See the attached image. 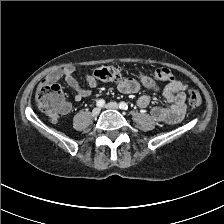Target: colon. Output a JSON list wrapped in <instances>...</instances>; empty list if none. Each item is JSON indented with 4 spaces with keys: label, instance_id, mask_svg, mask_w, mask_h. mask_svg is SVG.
Masks as SVG:
<instances>
[{
    "label": "colon",
    "instance_id": "colon-1",
    "mask_svg": "<svg viewBox=\"0 0 224 224\" xmlns=\"http://www.w3.org/2000/svg\"><path fill=\"white\" fill-rule=\"evenodd\" d=\"M126 72V69L105 66L96 69L94 76L101 81L114 82L120 80ZM153 73L162 80L171 81L174 79L172 72L166 67H156L153 69ZM187 94L190 107L198 109L202 102L199 92L190 88ZM35 99L39 109L48 114L52 119H57L59 114L66 111L69 107L65 99V93L58 84L40 83L36 90Z\"/></svg>",
    "mask_w": 224,
    "mask_h": 224
}]
</instances>
